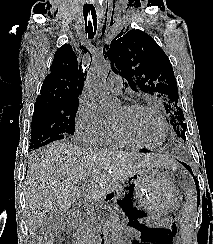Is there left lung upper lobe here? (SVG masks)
Wrapping results in <instances>:
<instances>
[{
	"label": "left lung upper lobe",
	"instance_id": "obj_1",
	"mask_svg": "<svg viewBox=\"0 0 213 244\" xmlns=\"http://www.w3.org/2000/svg\"><path fill=\"white\" fill-rule=\"evenodd\" d=\"M105 59L135 91L160 100L175 135L186 141L184 114L178 106V88L168 56L154 39L141 30L121 32L107 46Z\"/></svg>",
	"mask_w": 213,
	"mask_h": 244
}]
</instances>
